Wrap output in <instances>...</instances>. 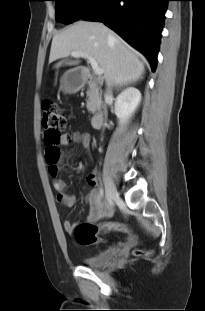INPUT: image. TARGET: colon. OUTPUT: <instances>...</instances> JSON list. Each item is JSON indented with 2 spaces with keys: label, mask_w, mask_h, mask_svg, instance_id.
Instances as JSON below:
<instances>
[{
  "label": "colon",
  "mask_w": 205,
  "mask_h": 311,
  "mask_svg": "<svg viewBox=\"0 0 205 311\" xmlns=\"http://www.w3.org/2000/svg\"><path fill=\"white\" fill-rule=\"evenodd\" d=\"M42 127L46 145V161L49 166H55L60 158L58 145L65 136L66 118L61 109L52 101H45L42 104ZM109 231L129 232V227L119 222H104L99 225L81 222L74 227L72 235L78 244L87 246L101 242L102 238L99 233ZM137 254L141 255V252Z\"/></svg>",
  "instance_id": "1"
}]
</instances>
